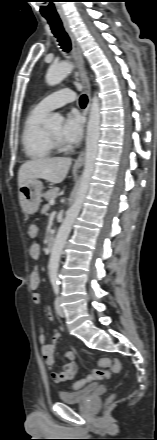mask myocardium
Instances as JSON below:
<instances>
[{
  "label": "myocardium",
  "instance_id": "obj_1",
  "mask_svg": "<svg viewBox=\"0 0 157 440\" xmlns=\"http://www.w3.org/2000/svg\"><path fill=\"white\" fill-rule=\"evenodd\" d=\"M47 135L48 138L50 140V142L52 143L54 148H58L61 149L63 147V143L59 138L54 137L49 130H47Z\"/></svg>",
  "mask_w": 157,
  "mask_h": 440
}]
</instances>
